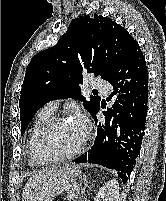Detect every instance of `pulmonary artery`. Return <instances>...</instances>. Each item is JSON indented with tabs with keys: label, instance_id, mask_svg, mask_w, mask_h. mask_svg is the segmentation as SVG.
Masks as SVG:
<instances>
[{
	"label": "pulmonary artery",
	"instance_id": "e3ab8cb5",
	"mask_svg": "<svg viewBox=\"0 0 166 201\" xmlns=\"http://www.w3.org/2000/svg\"><path fill=\"white\" fill-rule=\"evenodd\" d=\"M93 86L104 93H107L109 89V84L100 79H95L93 81ZM57 105H58L57 101H52L46 106V108L53 111L56 109Z\"/></svg>",
	"mask_w": 166,
	"mask_h": 201
}]
</instances>
